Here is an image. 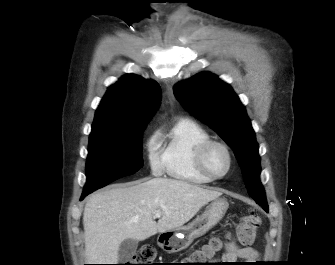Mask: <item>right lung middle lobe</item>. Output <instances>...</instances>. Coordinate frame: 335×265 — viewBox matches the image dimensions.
I'll return each instance as SVG.
<instances>
[{
  "label": "right lung middle lobe",
  "mask_w": 335,
  "mask_h": 265,
  "mask_svg": "<svg viewBox=\"0 0 335 265\" xmlns=\"http://www.w3.org/2000/svg\"><path fill=\"white\" fill-rule=\"evenodd\" d=\"M145 126L140 124L122 132L90 134L87 183L83 193L89 194L142 168V133Z\"/></svg>",
  "instance_id": "dd1d6c3e"
}]
</instances>
